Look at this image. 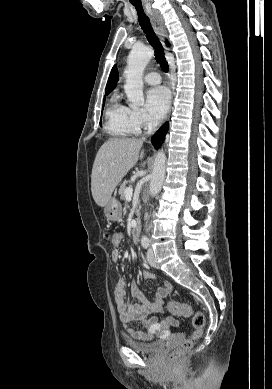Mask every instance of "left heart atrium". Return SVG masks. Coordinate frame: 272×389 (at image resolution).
Masks as SVG:
<instances>
[{"instance_id":"1","label":"left heart atrium","mask_w":272,"mask_h":389,"mask_svg":"<svg viewBox=\"0 0 272 389\" xmlns=\"http://www.w3.org/2000/svg\"><path fill=\"white\" fill-rule=\"evenodd\" d=\"M170 104V95L165 87L157 86L150 88L146 92L145 106L154 120H159L164 117Z\"/></svg>"}]
</instances>
